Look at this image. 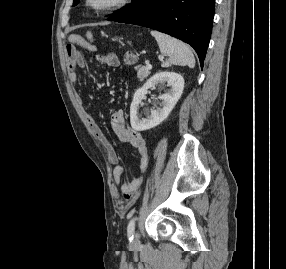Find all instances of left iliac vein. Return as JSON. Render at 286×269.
<instances>
[{
	"mask_svg": "<svg viewBox=\"0 0 286 269\" xmlns=\"http://www.w3.org/2000/svg\"><path fill=\"white\" fill-rule=\"evenodd\" d=\"M133 244L138 245L139 242V234L137 232L134 233Z\"/></svg>",
	"mask_w": 286,
	"mask_h": 269,
	"instance_id": "obj_1",
	"label": "left iliac vein"
}]
</instances>
